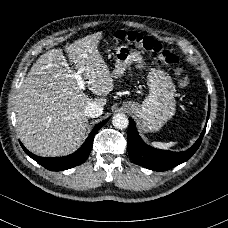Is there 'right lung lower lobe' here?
Segmentation results:
<instances>
[{
    "instance_id": "1",
    "label": "right lung lower lobe",
    "mask_w": 228,
    "mask_h": 228,
    "mask_svg": "<svg viewBox=\"0 0 228 228\" xmlns=\"http://www.w3.org/2000/svg\"><path fill=\"white\" fill-rule=\"evenodd\" d=\"M107 121H108V119L97 124L90 132V134H89L88 138L86 139V141L84 142V144L75 153L65 156V157H55V158L39 157V156H36V155L32 154L31 152H29L22 145V143H20V144H21L23 150L32 159H34L37 163H39L46 169L51 170V171L66 170V169L75 167L77 165H80L87 159V157L89 156L91 149H92L94 135Z\"/></svg>"
}]
</instances>
